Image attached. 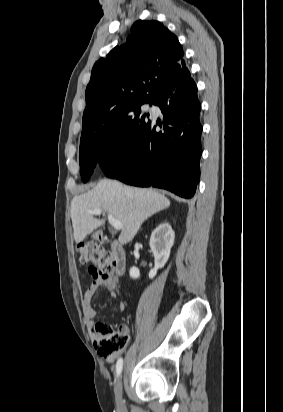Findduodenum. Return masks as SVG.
I'll return each mask as SVG.
<instances>
[{
	"mask_svg": "<svg viewBox=\"0 0 283 412\" xmlns=\"http://www.w3.org/2000/svg\"><path fill=\"white\" fill-rule=\"evenodd\" d=\"M111 255L115 264L116 274L122 275L126 268V254L120 242H112Z\"/></svg>",
	"mask_w": 283,
	"mask_h": 412,
	"instance_id": "410a0bca",
	"label": "duodenum"
}]
</instances>
